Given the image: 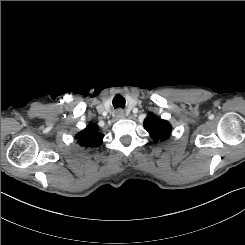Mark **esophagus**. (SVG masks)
<instances>
[{
  "instance_id": "obj_1",
  "label": "esophagus",
  "mask_w": 245,
  "mask_h": 245,
  "mask_svg": "<svg viewBox=\"0 0 245 245\" xmlns=\"http://www.w3.org/2000/svg\"><path fill=\"white\" fill-rule=\"evenodd\" d=\"M117 118H124L125 117V112L122 109L117 110L116 112Z\"/></svg>"
}]
</instances>
